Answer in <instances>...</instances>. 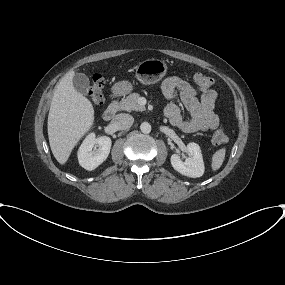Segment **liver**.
I'll return each instance as SVG.
<instances>
[{"instance_id":"liver-1","label":"liver","mask_w":285,"mask_h":285,"mask_svg":"<svg viewBox=\"0 0 285 285\" xmlns=\"http://www.w3.org/2000/svg\"><path fill=\"white\" fill-rule=\"evenodd\" d=\"M74 71L63 76L57 85L48 115V138L51 151L65 164L78 141L94 123L92 103L73 86Z\"/></svg>"}]
</instances>
